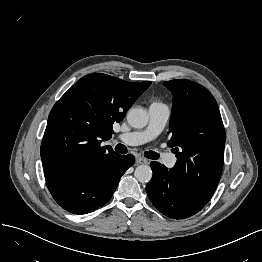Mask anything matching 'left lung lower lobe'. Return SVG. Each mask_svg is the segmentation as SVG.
I'll return each mask as SVG.
<instances>
[{"instance_id": "obj_1", "label": "left lung lower lobe", "mask_w": 262, "mask_h": 262, "mask_svg": "<svg viewBox=\"0 0 262 262\" xmlns=\"http://www.w3.org/2000/svg\"><path fill=\"white\" fill-rule=\"evenodd\" d=\"M153 177L146 191L151 203L165 216L172 219H185L198 213L204 204L183 184L174 179L171 169L151 162Z\"/></svg>"}]
</instances>
